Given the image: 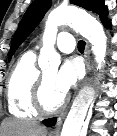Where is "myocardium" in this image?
<instances>
[{"instance_id": "myocardium-1", "label": "myocardium", "mask_w": 117, "mask_h": 136, "mask_svg": "<svg viewBox=\"0 0 117 136\" xmlns=\"http://www.w3.org/2000/svg\"><path fill=\"white\" fill-rule=\"evenodd\" d=\"M44 85H45L44 76L40 75L36 82L33 92V107L38 114L53 115L64 108L67 99L66 96H63L60 103L57 106L53 108H48L43 101Z\"/></svg>"}]
</instances>
